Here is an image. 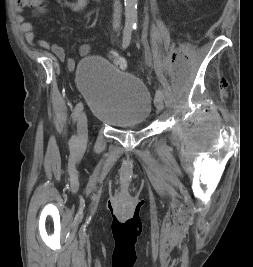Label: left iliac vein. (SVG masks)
Here are the masks:
<instances>
[{"label":"left iliac vein","mask_w":253,"mask_h":267,"mask_svg":"<svg viewBox=\"0 0 253 267\" xmlns=\"http://www.w3.org/2000/svg\"><path fill=\"white\" fill-rule=\"evenodd\" d=\"M163 98L164 96L162 94H159L157 97H155L154 103L158 111H162L164 108Z\"/></svg>","instance_id":"1"}]
</instances>
